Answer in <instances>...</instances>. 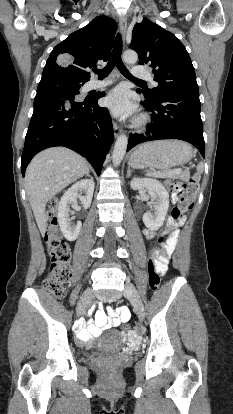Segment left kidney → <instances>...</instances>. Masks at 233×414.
I'll list each match as a JSON object with an SVG mask.
<instances>
[{
	"mask_svg": "<svg viewBox=\"0 0 233 414\" xmlns=\"http://www.w3.org/2000/svg\"><path fill=\"white\" fill-rule=\"evenodd\" d=\"M130 187L133 190L140 188L148 190L154 213L146 212L143 215V222L148 229L152 231L158 230L163 225L169 208V194L167 190L161 182L152 178H133L130 182Z\"/></svg>",
	"mask_w": 233,
	"mask_h": 414,
	"instance_id": "obj_1",
	"label": "left kidney"
}]
</instances>
